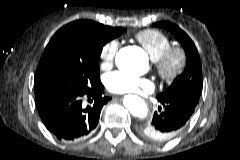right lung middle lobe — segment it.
Instances as JSON below:
<instances>
[{
	"mask_svg": "<svg viewBox=\"0 0 240 160\" xmlns=\"http://www.w3.org/2000/svg\"><path fill=\"white\" fill-rule=\"evenodd\" d=\"M125 31L80 20L60 28L49 41L39 61L34 92L58 88L87 92L100 83L98 58L103 46Z\"/></svg>",
	"mask_w": 240,
	"mask_h": 160,
	"instance_id": "1",
	"label": "right lung middle lobe"
}]
</instances>
